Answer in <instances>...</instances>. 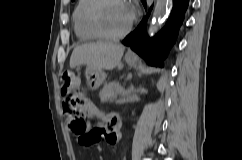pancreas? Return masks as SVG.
<instances>
[{"mask_svg": "<svg viewBox=\"0 0 242 160\" xmlns=\"http://www.w3.org/2000/svg\"><path fill=\"white\" fill-rule=\"evenodd\" d=\"M125 90L118 82H112L103 87L99 93L102 102L115 101L118 95H122Z\"/></svg>", "mask_w": 242, "mask_h": 160, "instance_id": "1", "label": "pancreas"}]
</instances>
